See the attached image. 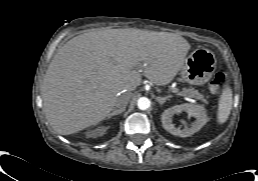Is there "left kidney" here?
<instances>
[{
  "label": "left kidney",
  "mask_w": 258,
  "mask_h": 181,
  "mask_svg": "<svg viewBox=\"0 0 258 181\" xmlns=\"http://www.w3.org/2000/svg\"><path fill=\"white\" fill-rule=\"evenodd\" d=\"M183 111L187 112L190 116L196 118V120L190 128H185L181 130L174 126V124L172 123V117L174 116V114H178ZM161 120L164 129H166L171 134L180 137H189L199 131L208 122V117L203 106L185 103L181 105H175L165 110L162 113Z\"/></svg>",
  "instance_id": "5707ae66"
}]
</instances>
